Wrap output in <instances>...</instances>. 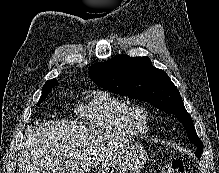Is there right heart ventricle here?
<instances>
[{
	"label": "right heart ventricle",
	"instance_id": "right-heart-ventricle-1",
	"mask_svg": "<svg viewBox=\"0 0 219 173\" xmlns=\"http://www.w3.org/2000/svg\"><path fill=\"white\" fill-rule=\"evenodd\" d=\"M128 103L102 89L90 92L76 107L77 116L89 126L123 136H136L137 131L127 119Z\"/></svg>",
	"mask_w": 219,
	"mask_h": 173
}]
</instances>
